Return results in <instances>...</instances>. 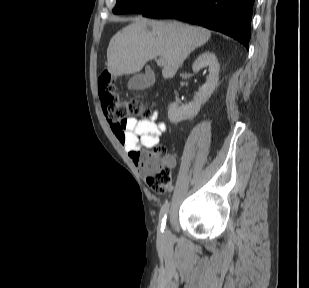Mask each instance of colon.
<instances>
[{
    "label": "colon",
    "instance_id": "colon-1",
    "mask_svg": "<svg viewBox=\"0 0 309 288\" xmlns=\"http://www.w3.org/2000/svg\"><path fill=\"white\" fill-rule=\"evenodd\" d=\"M98 91L105 116L112 122H124L132 116L149 117L151 106L138 97L121 101L115 77L104 71L98 78ZM133 160L143 176L146 187L152 192H164L171 188L173 163L163 146L137 151Z\"/></svg>",
    "mask_w": 309,
    "mask_h": 288
}]
</instances>
